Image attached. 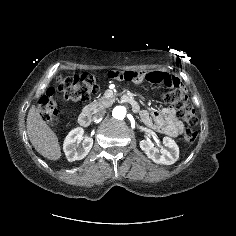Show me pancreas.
Wrapping results in <instances>:
<instances>
[{"label": "pancreas", "mask_w": 236, "mask_h": 236, "mask_svg": "<svg viewBox=\"0 0 236 236\" xmlns=\"http://www.w3.org/2000/svg\"><path fill=\"white\" fill-rule=\"evenodd\" d=\"M110 104H111L110 99H107L105 97H101L100 99L95 100L92 103H90L89 105L85 106L84 109L86 111L96 113V112L110 106Z\"/></svg>", "instance_id": "obj_1"}]
</instances>
